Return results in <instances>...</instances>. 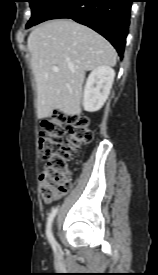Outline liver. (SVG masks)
Segmentation results:
<instances>
[{
	"label": "liver",
	"instance_id": "obj_1",
	"mask_svg": "<svg viewBox=\"0 0 158 275\" xmlns=\"http://www.w3.org/2000/svg\"><path fill=\"white\" fill-rule=\"evenodd\" d=\"M37 87V117L53 109L81 113L86 71L116 64L113 46L92 29L70 19H55L36 27L27 40ZM59 70L54 72L53 67Z\"/></svg>",
	"mask_w": 158,
	"mask_h": 275
}]
</instances>
